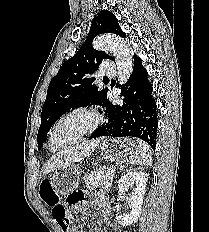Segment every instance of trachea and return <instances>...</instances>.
Here are the masks:
<instances>
[{
    "label": "trachea",
    "mask_w": 209,
    "mask_h": 232,
    "mask_svg": "<svg viewBox=\"0 0 209 232\" xmlns=\"http://www.w3.org/2000/svg\"><path fill=\"white\" fill-rule=\"evenodd\" d=\"M104 80H108V78H107V77H105V78H104Z\"/></svg>",
    "instance_id": "1"
}]
</instances>
